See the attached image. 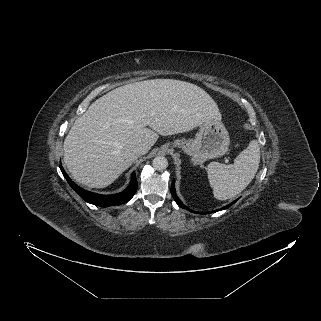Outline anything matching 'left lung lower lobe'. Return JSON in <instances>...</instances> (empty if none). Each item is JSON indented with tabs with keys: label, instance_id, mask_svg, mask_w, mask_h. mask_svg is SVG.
Listing matches in <instances>:
<instances>
[{
	"label": "left lung lower lobe",
	"instance_id": "obj_1",
	"mask_svg": "<svg viewBox=\"0 0 321 321\" xmlns=\"http://www.w3.org/2000/svg\"><path fill=\"white\" fill-rule=\"evenodd\" d=\"M171 194H172V196L174 197V200L176 201V203H177L180 207L191 211L190 209H188V207H186V206L181 202V200H180V199L178 198V196L176 195L174 180H173V182H172V184H171ZM237 200H238V199H237ZM237 200L233 201V202L230 203L229 205H226V206H224L223 208H221V209H219V210H223V209L229 208V207H230L232 204H234ZM219 210H216V211H219ZM192 212H193V211H192ZM212 212H215V211H211L210 213H212ZM201 214H206V213H201Z\"/></svg>",
	"mask_w": 321,
	"mask_h": 321
}]
</instances>
